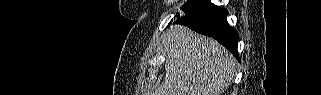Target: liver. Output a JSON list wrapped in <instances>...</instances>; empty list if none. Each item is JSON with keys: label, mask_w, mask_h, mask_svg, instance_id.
<instances>
[{"label": "liver", "mask_w": 321, "mask_h": 95, "mask_svg": "<svg viewBox=\"0 0 321 95\" xmlns=\"http://www.w3.org/2000/svg\"><path fill=\"white\" fill-rule=\"evenodd\" d=\"M163 45L166 76L151 95H221L231 85L235 58L212 38L176 25Z\"/></svg>", "instance_id": "liver-1"}]
</instances>
